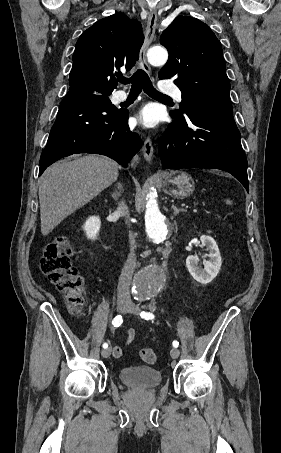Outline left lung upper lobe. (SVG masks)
I'll use <instances>...</instances> for the list:
<instances>
[{
	"mask_svg": "<svg viewBox=\"0 0 281 453\" xmlns=\"http://www.w3.org/2000/svg\"><path fill=\"white\" fill-rule=\"evenodd\" d=\"M160 43L167 48L169 59L158 76L175 77L182 92L180 110L172 112L173 117L194 107L231 105L221 43L205 23L178 16L164 30Z\"/></svg>",
	"mask_w": 281,
	"mask_h": 453,
	"instance_id": "1",
	"label": "left lung upper lobe"
}]
</instances>
